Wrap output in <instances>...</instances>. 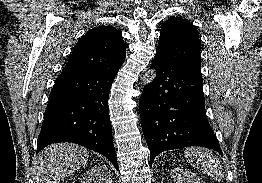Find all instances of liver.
Returning a JSON list of instances; mask_svg holds the SVG:
<instances>
[{
	"mask_svg": "<svg viewBox=\"0 0 262 183\" xmlns=\"http://www.w3.org/2000/svg\"><path fill=\"white\" fill-rule=\"evenodd\" d=\"M87 149L72 143H59L47 146L34 162L36 183H57L88 161Z\"/></svg>",
	"mask_w": 262,
	"mask_h": 183,
	"instance_id": "6515ba94",
	"label": "liver"
}]
</instances>
